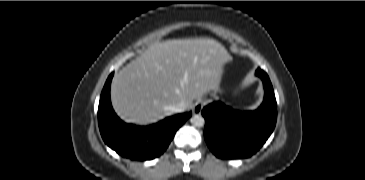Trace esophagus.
<instances>
[{"label": "esophagus", "instance_id": "1", "mask_svg": "<svg viewBox=\"0 0 365 180\" xmlns=\"http://www.w3.org/2000/svg\"><path fill=\"white\" fill-rule=\"evenodd\" d=\"M205 103L203 101H198L193 105L192 111L193 114H200L203 107H204Z\"/></svg>", "mask_w": 365, "mask_h": 180}]
</instances>
